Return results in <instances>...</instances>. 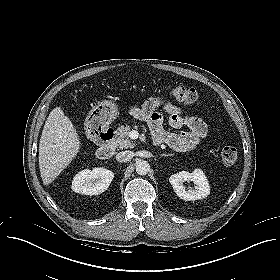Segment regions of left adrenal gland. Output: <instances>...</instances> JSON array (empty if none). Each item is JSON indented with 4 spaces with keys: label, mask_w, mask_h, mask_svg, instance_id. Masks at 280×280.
I'll use <instances>...</instances> for the list:
<instances>
[{
    "label": "left adrenal gland",
    "mask_w": 280,
    "mask_h": 280,
    "mask_svg": "<svg viewBox=\"0 0 280 280\" xmlns=\"http://www.w3.org/2000/svg\"><path fill=\"white\" fill-rule=\"evenodd\" d=\"M161 156H171L170 154H162Z\"/></svg>",
    "instance_id": "obj_1"
}]
</instances>
